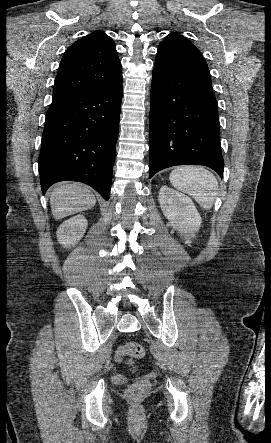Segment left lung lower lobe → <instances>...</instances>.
<instances>
[{
	"instance_id": "0a47b994",
	"label": "left lung lower lobe",
	"mask_w": 271,
	"mask_h": 443,
	"mask_svg": "<svg viewBox=\"0 0 271 443\" xmlns=\"http://www.w3.org/2000/svg\"><path fill=\"white\" fill-rule=\"evenodd\" d=\"M149 177L176 165L210 167L221 177L218 105L204 57L158 47L149 116Z\"/></svg>"
}]
</instances>
